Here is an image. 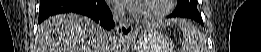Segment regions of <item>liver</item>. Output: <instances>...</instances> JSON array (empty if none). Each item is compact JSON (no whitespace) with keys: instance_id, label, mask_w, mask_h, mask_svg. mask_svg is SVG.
<instances>
[{"instance_id":"1","label":"liver","mask_w":261,"mask_h":52,"mask_svg":"<svg viewBox=\"0 0 261 52\" xmlns=\"http://www.w3.org/2000/svg\"><path fill=\"white\" fill-rule=\"evenodd\" d=\"M108 35L98 24L73 13L59 14L38 26L34 52H104Z\"/></svg>"}]
</instances>
